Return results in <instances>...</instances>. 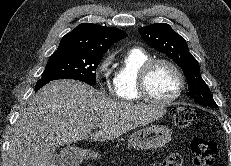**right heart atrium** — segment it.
<instances>
[{
	"mask_svg": "<svg viewBox=\"0 0 231 166\" xmlns=\"http://www.w3.org/2000/svg\"><path fill=\"white\" fill-rule=\"evenodd\" d=\"M112 61L111 55H107L100 63L98 67V74L103 77V88L110 89L111 83L109 80V66Z\"/></svg>",
	"mask_w": 231,
	"mask_h": 166,
	"instance_id": "d8ad5b80",
	"label": "right heart atrium"
}]
</instances>
